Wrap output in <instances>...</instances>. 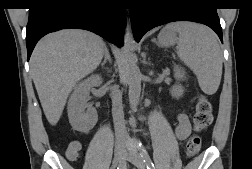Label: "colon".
Instances as JSON below:
<instances>
[{
    "label": "colon",
    "instance_id": "obj_1",
    "mask_svg": "<svg viewBox=\"0 0 252 169\" xmlns=\"http://www.w3.org/2000/svg\"><path fill=\"white\" fill-rule=\"evenodd\" d=\"M212 122V104L205 96H200L193 117V126L195 132L205 130ZM201 148V137L198 134L192 135L186 145V153L188 157H194ZM69 159H76L77 153L75 149L67 152Z\"/></svg>",
    "mask_w": 252,
    "mask_h": 169
}]
</instances>
